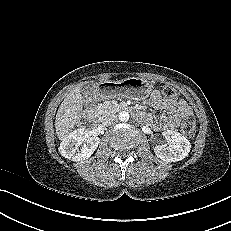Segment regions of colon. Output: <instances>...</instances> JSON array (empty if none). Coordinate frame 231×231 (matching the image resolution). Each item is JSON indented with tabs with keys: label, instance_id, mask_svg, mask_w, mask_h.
<instances>
[{
	"label": "colon",
	"instance_id": "1",
	"mask_svg": "<svg viewBox=\"0 0 231 231\" xmlns=\"http://www.w3.org/2000/svg\"><path fill=\"white\" fill-rule=\"evenodd\" d=\"M162 93L165 97L169 99L175 98L177 95L176 90L172 86H165L162 89ZM179 128L186 137H193L196 131L195 118L192 115H188L182 118L179 123Z\"/></svg>",
	"mask_w": 231,
	"mask_h": 231
}]
</instances>
